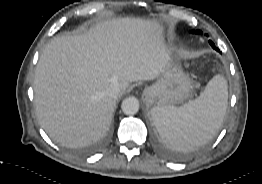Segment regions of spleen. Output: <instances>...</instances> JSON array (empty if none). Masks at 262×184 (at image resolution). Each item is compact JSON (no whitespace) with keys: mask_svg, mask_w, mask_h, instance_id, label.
Listing matches in <instances>:
<instances>
[{"mask_svg":"<svg viewBox=\"0 0 262 184\" xmlns=\"http://www.w3.org/2000/svg\"><path fill=\"white\" fill-rule=\"evenodd\" d=\"M228 85L214 76L200 96L180 107H154L151 115L163 142L178 151L192 150L211 140L222 126Z\"/></svg>","mask_w":262,"mask_h":184,"instance_id":"1","label":"spleen"}]
</instances>
